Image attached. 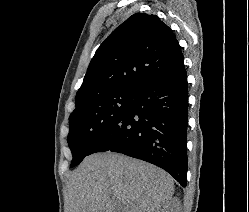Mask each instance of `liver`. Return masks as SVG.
Segmentation results:
<instances>
[{"instance_id": "6515ba94", "label": "liver", "mask_w": 249, "mask_h": 212, "mask_svg": "<svg viewBox=\"0 0 249 212\" xmlns=\"http://www.w3.org/2000/svg\"><path fill=\"white\" fill-rule=\"evenodd\" d=\"M173 194V178L153 164L92 154L68 178L67 212H170Z\"/></svg>"}]
</instances>
